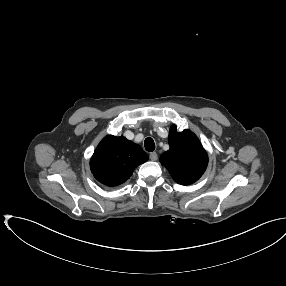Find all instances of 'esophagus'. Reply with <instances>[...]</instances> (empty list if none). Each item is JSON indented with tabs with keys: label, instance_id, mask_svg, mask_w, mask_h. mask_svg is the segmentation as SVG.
Segmentation results:
<instances>
[{
	"label": "esophagus",
	"instance_id": "esophagus-1",
	"mask_svg": "<svg viewBox=\"0 0 286 286\" xmlns=\"http://www.w3.org/2000/svg\"><path fill=\"white\" fill-rule=\"evenodd\" d=\"M149 158H150L152 161H156V160L158 159V155H157L156 152H152V153H150Z\"/></svg>",
	"mask_w": 286,
	"mask_h": 286
}]
</instances>
